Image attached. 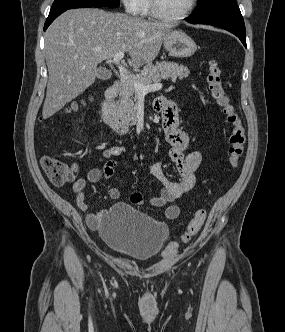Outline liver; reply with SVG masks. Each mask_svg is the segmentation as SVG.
<instances>
[{"label":"liver","mask_w":285,"mask_h":332,"mask_svg":"<svg viewBox=\"0 0 285 332\" xmlns=\"http://www.w3.org/2000/svg\"><path fill=\"white\" fill-rule=\"evenodd\" d=\"M170 29L167 23L95 8L71 9L60 15L45 34L49 77L43 119L91 86L98 76L97 65L116 53L128 52L133 68L151 63Z\"/></svg>","instance_id":"liver-1"}]
</instances>
